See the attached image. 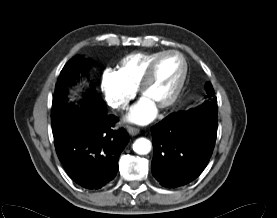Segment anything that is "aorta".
<instances>
[{"label": "aorta", "mask_w": 277, "mask_h": 218, "mask_svg": "<svg viewBox=\"0 0 277 218\" xmlns=\"http://www.w3.org/2000/svg\"><path fill=\"white\" fill-rule=\"evenodd\" d=\"M133 150L139 155H146L151 151V142L146 138H138L133 143Z\"/></svg>", "instance_id": "aorta-1"}]
</instances>
